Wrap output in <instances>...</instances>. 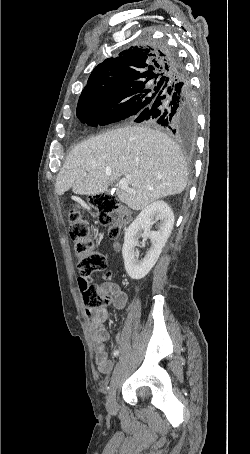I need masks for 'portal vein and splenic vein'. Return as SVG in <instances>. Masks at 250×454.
<instances>
[{
	"label": "portal vein and splenic vein",
	"mask_w": 250,
	"mask_h": 454,
	"mask_svg": "<svg viewBox=\"0 0 250 454\" xmlns=\"http://www.w3.org/2000/svg\"><path fill=\"white\" fill-rule=\"evenodd\" d=\"M129 180H130V176H126L125 178L121 179L118 182L117 187L120 190H124V191H128V192L134 193V190L129 187Z\"/></svg>",
	"instance_id": "1"
}]
</instances>
